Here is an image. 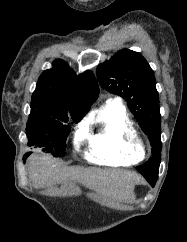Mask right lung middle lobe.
Returning <instances> with one entry per match:
<instances>
[{
	"mask_svg": "<svg viewBox=\"0 0 187 242\" xmlns=\"http://www.w3.org/2000/svg\"><path fill=\"white\" fill-rule=\"evenodd\" d=\"M71 117L74 122H79L83 116L71 115ZM67 122L68 114H30L26 125L27 145L41 148L54 157L64 156L66 139L70 132Z\"/></svg>",
	"mask_w": 187,
	"mask_h": 242,
	"instance_id": "1",
	"label": "right lung middle lobe"
}]
</instances>
